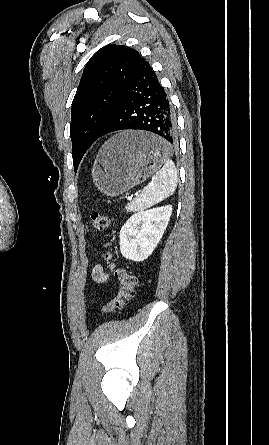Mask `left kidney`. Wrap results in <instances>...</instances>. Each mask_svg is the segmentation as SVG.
Masks as SVG:
<instances>
[{"label":"left kidney","mask_w":269,"mask_h":445,"mask_svg":"<svg viewBox=\"0 0 269 445\" xmlns=\"http://www.w3.org/2000/svg\"><path fill=\"white\" fill-rule=\"evenodd\" d=\"M172 214V206L153 208L132 215L120 231V251L129 260L147 259L162 238Z\"/></svg>","instance_id":"obj_1"}]
</instances>
